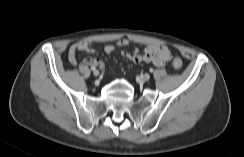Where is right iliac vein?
Returning a JSON list of instances; mask_svg holds the SVG:
<instances>
[{"instance_id":"1","label":"right iliac vein","mask_w":244,"mask_h":157,"mask_svg":"<svg viewBox=\"0 0 244 157\" xmlns=\"http://www.w3.org/2000/svg\"><path fill=\"white\" fill-rule=\"evenodd\" d=\"M93 75L97 77V76L99 75V71H98V70H95V71L93 72Z\"/></svg>"}]
</instances>
